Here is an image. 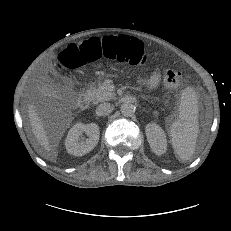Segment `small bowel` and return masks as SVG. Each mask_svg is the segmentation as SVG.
<instances>
[{
    "instance_id": "c3829d8e",
    "label": "small bowel",
    "mask_w": 231,
    "mask_h": 231,
    "mask_svg": "<svg viewBox=\"0 0 231 231\" xmlns=\"http://www.w3.org/2000/svg\"><path fill=\"white\" fill-rule=\"evenodd\" d=\"M160 75L159 73H153L147 81V85L149 88H155L159 82Z\"/></svg>"
}]
</instances>
